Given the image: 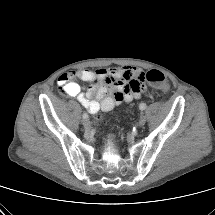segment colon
<instances>
[{"mask_svg": "<svg viewBox=\"0 0 215 215\" xmlns=\"http://www.w3.org/2000/svg\"><path fill=\"white\" fill-rule=\"evenodd\" d=\"M143 79H146L152 86L157 88L166 89L167 81L164 74L159 70H150L144 76ZM138 85H134V88H137Z\"/></svg>", "mask_w": 215, "mask_h": 215, "instance_id": "1", "label": "colon"}]
</instances>
